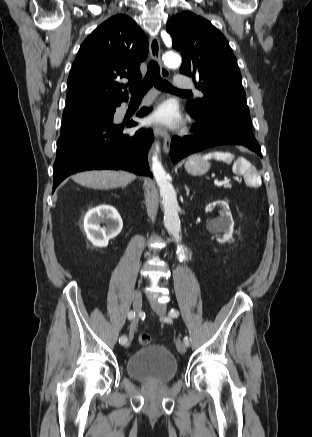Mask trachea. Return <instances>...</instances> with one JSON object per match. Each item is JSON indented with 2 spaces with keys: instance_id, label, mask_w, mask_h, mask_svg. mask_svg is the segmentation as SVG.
<instances>
[{
  "instance_id": "1",
  "label": "trachea",
  "mask_w": 312,
  "mask_h": 437,
  "mask_svg": "<svg viewBox=\"0 0 312 437\" xmlns=\"http://www.w3.org/2000/svg\"><path fill=\"white\" fill-rule=\"evenodd\" d=\"M165 92L191 94V91L179 90L174 88L168 81L161 78L157 62L151 61L144 79L129 88L132 97L144 95L152 86Z\"/></svg>"
}]
</instances>
